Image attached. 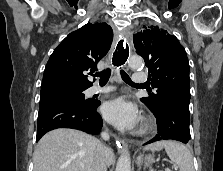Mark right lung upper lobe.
<instances>
[{
	"label": "right lung upper lobe",
	"mask_w": 223,
	"mask_h": 171,
	"mask_svg": "<svg viewBox=\"0 0 223 171\" xmlns=\"http://www.w3.org/2000/svg\"><path fill=\"white\" fill-rule=\"evenodd\" d=\"M112 39V29L106 23H88L70 33L47 62L40 98L89 88L92 83L84 73L97 70L96 64L107 54Z\"/></svg>",
	"instance_id": "cb5924a9"
}]
</instances>
